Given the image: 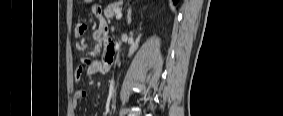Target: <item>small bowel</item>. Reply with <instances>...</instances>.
<instances>
[{
  "label": "small bowel",
  "mask_w": 283,
  "mask_h": 116,
  "mask_svg": "<svg viewBox=\"0 0 283 116\" xmlns=\"http://www.w3.org/2000/svg\"><path fill=\"white\" fill-rule=\"evenodd\" d=\"M93 14L99 19V26L98 28L93 32V38L95 41L101 43L105 42L107 44L106 52L104 55V58L102 60H87L82 58L80 60V64L75 69V81L76 83H79L82 81L84 75L91 77L98 74H105L109 70L110 63L107 61L109 58L114 57L115 54V46L110 41L108 37V28L107 24L103 19L102 9L100 6H94L92 8ZM86 29V26L84 24H80L76 35L81 36L84 34ZM79 49L83 48V44L78 45ZM99 47H97V50ZM75 99L83 100L88 97V91L85 89H76L74 93Z\"/></svg>",
  "instance_id": "c3829d8e"
}]
</instances>
